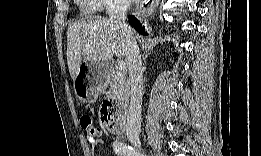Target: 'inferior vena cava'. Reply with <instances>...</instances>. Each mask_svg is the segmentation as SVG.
<instances>
[{
  "instance_id": "602c4592",
  "label": "inferior vena cava",
  "mask_w": 261,
  "mask_h": 156,
  "mask_svg": "<svg viewBox=\"0 0 261 156\" xmlns=\"http://www.w3.org/2000/svg\"><path fill=\"white\" fill-rule=\"evenodd\" d=\"M129 7L127 0H113L107 8L109 20L115 23L127 38L125 51L126 62L129 69V80L131 86V98L126 125V134L132 143H139L141 130V105L143 73L142 61L139 47L131 34V28L126 23V11Z\"/></svg>"
}]
</instances>
